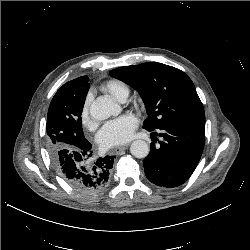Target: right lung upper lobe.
Returning a JSON list of instances; mask_svg holds the SVG:
<instances>
[{
	"label": "right lung upper lobe",
	"instance_id": "obj_1",
	"mask_svg": "<svg viewBox=\"0 0 250 250\" xmlns=\"http://www.w3.org/2000/svg\"><path fill=\"white\" fill-rule=\"evenodd\" d=\"M77 79H78V78H77ZM77 79H74V80H72V81L67 82L66 85L72 84V83L75 82Z\"/></svg>",
	"mask_w": 250,
	"mask_h": 250
}]
</instances>
